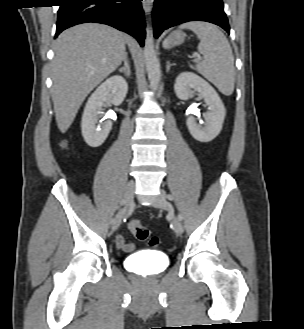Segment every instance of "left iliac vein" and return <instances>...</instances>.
I'll return each mask as SVG.
<instances>
[{"label": "left iliac vein", "instance_id": "4c4485c4", "mask_svg": "<svg viewBox=\"0 0 304 329\" xmlns=\"http://www.w3.org/2000/svg\"><path fill=\"white\" fill-rule=\"evenodd\" d=\"M153 206L156 208H160L163 210H167L168 208V203L166 200V194L164 191L160 192V195L157 197V199L153 202ZM173 226L174 230L178 235H181L184 231L183 225L180 222L179 219L173 218Z\"/></svg>", "mask_w": 304, "mask_h": 329}]
</instances>
